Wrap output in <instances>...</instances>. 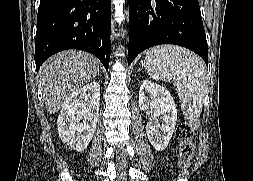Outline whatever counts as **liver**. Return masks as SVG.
Returning a JSON list of instances; mask_svg holds the SVG:
<instances>
[{"instance_id": "1", "label": "liver", "mask_w": 253, "mask_h": 181, "mask_svg": "<svg viewBox=\"0 0 253 181\" xmlns=\"http://www.w3.org/2000/svg\"><path fill=\"white\" fill-rule=\"evenodd\" d=\"M98 71V59L84 51H63L48 59L39 72L47 112L56 113L65 100L90 82Z\"/></svg>"}]
</instances>
